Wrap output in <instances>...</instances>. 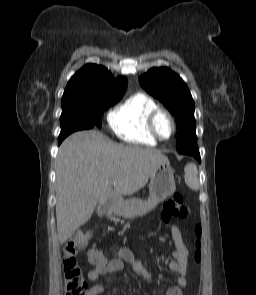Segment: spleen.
I'll use <instances>...</instances> for the list:
<instances>
[{"label": "spleen", "instance_id": "obj_1", "mask_svg": "<svg viewBox=\"0 0 256 295\" xmlns=\"http://www.w3.org/2000/svg\"><path fill=\"white\" fill-rule=\"evenodd\" d=\"M198 170L195 164L187 165L185 169V182L192 189L197 190L199 188L198 182Z\"/></svg>", "mask_w": 256, "mask_h": 295}]
</instances>
